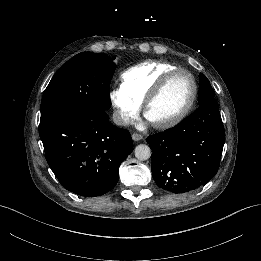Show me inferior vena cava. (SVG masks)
I'll use <instances>...</instances> for the list:
<instances>
[{"instance_id":"obj_1","label":"inferior vena cava","mask_w":261,"mask_h":261,"mask_svg":"<svg viewBox=\"0 0 261 261\" xmlns=\"http://www.w3.org/2000/svg\"><path fill=\"white\" fill-rule=\"evenodd\" d=\"M113 120L118 125H128L130 120L121 112H114L113 113Z\"/></svg>"}]
</instances>
